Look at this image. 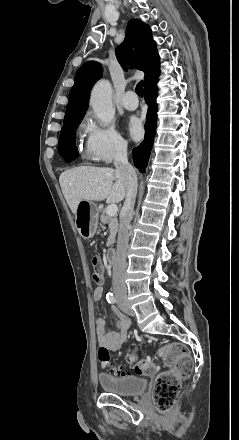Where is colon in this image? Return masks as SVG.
Returning a JSON list of instances; mask_svg holds the SVG:
<instances>
[{"label": "colon", "mask_w": 239, "mask_h": 440, "mask_svg": "<svg viewBox=\"0 0 239 440\" xmlns=\"http://www.w3.org/2000/svg\"><path fill=\"white\" fill-rule=\"evenodd\" d=\"M93 280L96 283H102L104 280V271L99 258L92 259ZM165 364V371L161 372L155 378L153 386V398L156 408L159 411L169 410L176 401L181 381L187 378L192 371V361L186 348L179 344H170L161 350ZM98 359L103 367H106L116 376H124L125 369L122 366H116L111 362L109 351L100 348ZM126 361L132 364L133 370L138 375H153L157 372V365L148 359H138L132 351L126 356Z\"/></svg>", "instance_id": "obj_1"}]
</instances>
